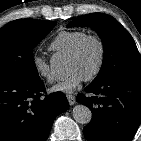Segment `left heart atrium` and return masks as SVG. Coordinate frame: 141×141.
I'll return each mask as SVG.
<instances>
[{"label": "left heart atrium", "mask_w": 141, "mask_h": 141, "mask_svg": "<svg viewBox=\"0 0 141 141\" xmlns=\"http://www.w3.org/2000/svg\"><path fill=\"white\" fill-rule=\"evenodd\" d=\"M83 81L84 77L79 72L72 71L65 79L54 85L52 91L71 93L76 90Z\"/></svg>", "instance_id": "39dd6f15"}]
</instances>
